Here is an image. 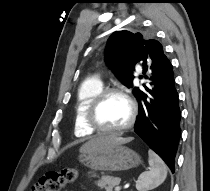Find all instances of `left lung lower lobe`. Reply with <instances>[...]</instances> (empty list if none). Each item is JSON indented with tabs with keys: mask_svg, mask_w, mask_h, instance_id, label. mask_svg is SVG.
Listing matches in <instances>:
<instances>
[{
	"mask_svg": "<svg viewBox=\"0 0 210 191\" xmlns=\"http://www.w3.org/2000/svg\"><path fill=\"white\" fill-rule=\"evenodd\" d=\"M152 88L144 86L137 98L139 114L134 131L175 171V156L181 135L180 108L173 67L164 58L150 77Z\"/></svg>",
	"mask_w": 210,
	"mask_h": 191,
	"instance_id": "obj_1",
	"label": "left lung lower lobe"
}]
</instances>
